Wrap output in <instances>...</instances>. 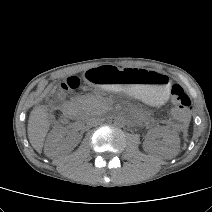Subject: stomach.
<instances>
[{
  "mask_svg": "<svg viewBox=\"0 0 212 212\" xmlns=\"http://www.w3.org/2000/svg\"><path fill=\"white\" fill-rule=\"evenodd\" d=\"M85 78L112 90H123L153 105H161L168 99L171 85L164 73L141 68L123 70L118 64L89 67L85 71Z\"/></svg>",
  "mask_w": 212,
  "mask_h": 212,
  "instance_id": "obj_1",
  "label": "stomach"
}]
</instances>
